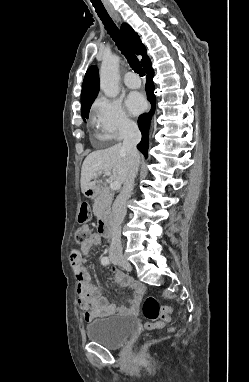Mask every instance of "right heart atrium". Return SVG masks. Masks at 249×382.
Here are the masks:
<instances>
[{
	"label": "right heart atrium",
	"mask_w": 249,
	"mask_h": 382,
	"mask_svg": "<svg viewBox=\"0 0 249 382\" xmlns=\"http://www.w3.org/2000/svg\"><path fill=\"white\" fill-rule=\"evenodd\" d=\"M93 123L107 140H120L135 129V123L120 101L104 96L93 105Z\"/></svg>",
	"instance_id": "1"
}]
</instances>
